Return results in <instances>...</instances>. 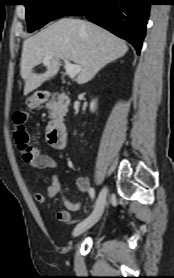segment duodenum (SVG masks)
I'll return each instance as SVG.
<instances>
[{
  "mask_svg": "<svg viewBox=\"0 0 174 278\" xmlns=\"http://www.w3.org/2000/svg\"><path fill=\"white\" fill-rule=\"evenodd\" d=\"M52 95L49 91H42L38 94V100L40 102L47 101ZM66 136V126L62 121L54 120L50 123L47 128V139L52 146L63 148L66 143Z\"/></svg>",
  "mask_w": 174,
  "mask_h": 278,
  "instance_id": "duodenum-1",
  "label": "duodenum"
}]
</instances>
